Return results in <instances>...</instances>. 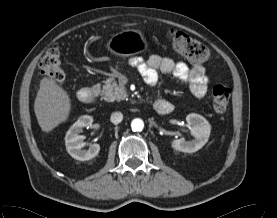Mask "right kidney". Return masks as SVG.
<instances>
[{"mask_svg":"<svg viewBox=\"0 0 277 218\" xmlns=\"http://www.w3.org/2000/svg\"><path fill=\"white\" fill-rule=\"evenodd\" d=\"M93 122V117L83 115L70 127L65 136V145L67 152L76 160L87 161L95 156L100 151L99 144H93L88 150L82 149L85 146L84 136L80 135L83 127L90 126Z\"/></svg>","mask_w":277,"mask_h":218,"instance_id":"obj_1","label":"right kidney"}]
</instances>
